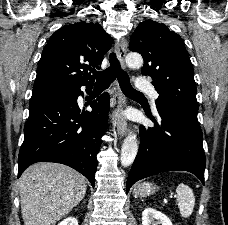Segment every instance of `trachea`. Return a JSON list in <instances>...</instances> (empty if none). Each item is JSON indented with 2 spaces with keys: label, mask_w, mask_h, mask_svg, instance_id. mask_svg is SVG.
Returning <instances> with one entry per match:
<instances>
[{
  "label": "trachea",
  "mask_w": 228,
  "mask_h": 225,
  "mask_svg": "<svg viewBox=\"0 0 228 225\" xmlns=\"http://www.w3.org/2000/svg\"><path fill=\"white\" fill-rule=\"evenodd\" d=\"M110 67L106 68L103 72H96L93 70L94 77L96 78L95 87L108 88L110 83L118 78L121 90L125 95L143 96L141 92L132 87L129 77L124 70L121 69L120 63L116 58L115 53L110 54Z\"/></svg>",
  "instance_id": "3493384b"
}]
</instances>
